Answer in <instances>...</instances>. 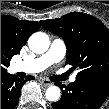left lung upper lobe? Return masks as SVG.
Masks as SVG:
<instances>
[{
    "label": "left lung upper lobe",
    "instance_id": "obj_1",
    "mask_svg": "<svg viewBox=\"0 0 109 109\" xmlns=\"http://www.w3.org/2000/svg\"><path fill=\"white\" fill-rule=\"evenodd\" d=\"M41 25L65 41L66 64L79 70L76 78L93 77L109 83V29L99 19L71 12L43 20Z\"/></svg>",
    "mask_w": 109,
    "mask_h": 109
}]
</instances>
